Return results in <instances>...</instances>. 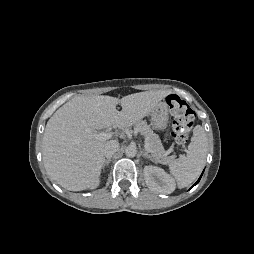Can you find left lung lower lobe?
I'll list each match as a JSON object with an SVG mask.
<instances>
[{
  "instance_id": "obj_1",
  "label": "left lung lower lobe",
  "mask_w": 254,
  "mask_h": 254,
  "mask_svg": "<svg viewBox=\"0 0 254 254\" xmlns=\"http://www.w3.org/2000/svg\"><path fill=\"white\" fill-rule=\"evenodd\" d=\"M202 174H203V173H202ZM202 174H201V176H202ZM201 176H200V178L198 179V181H197L193 186H195V185L200 181ZM193 186H192V187H193Z\"/></svg>"
}]
</instances>
